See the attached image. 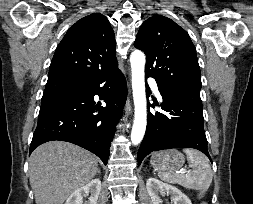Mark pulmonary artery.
Segmentation results:
<instances>
[{"label": "pulmonary artery", "instance_id": "e3ab8cb5", "mask_svg": "<svg viewBox=\"0 0 253 204\" xmlns=\"http://www.w3.org/2000/svg\"><path fill=\"white\" fill-rule=\"evenodd\" d=\"M148 82H149V84L151 85V87H152L154 93H155L158 97H160V93H159V91H158V87H157V84H156L155 80L151 78V79L148 80Z\"/></svg>", "mask_w": 253, "mask_h": 204}]
</instances>
